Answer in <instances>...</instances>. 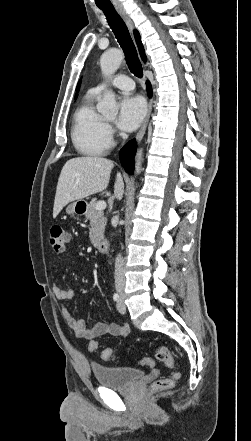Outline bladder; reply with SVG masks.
Returning <instances> with one entry per match:
<instances>
[{"instance_id": "1", "label": "bladder", "mask_w": 251, "mask_h": 441, "mask_svg": "<svg viewBox=\"0 0 251 441\" xmlns=\"http://www.w3.org/2000/svg\"><path fill=\"white\" fill-rule=\"evenodd\" d=\"M96 381L112 389H127L144 376V371L133 367L92 365Z\"/></svg>"}]
</instances>
